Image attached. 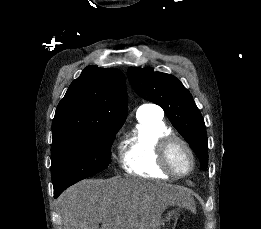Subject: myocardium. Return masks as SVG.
<instances>
[{
  "instance_id": "obj_1",
  "label": "myocardium",
  "mask_w": 261,
  "mask_h": 229,
  "mask_svg": "<svg viewBox=\"0 0 261 229\" xmlns=\"http://www.w3.org/2000/svg\"><path fill=\"white\" fill-rule=\"evenodd\" d=\"M181 145L185 148L190 159L189 168L186 171H177L171 163V151L177 146ZM159 160L164 170L173 177L182 178L192 173L195 167V156L190 144L181 137L171 135L162 139L159 145Z\"/></svg>"
}]
</instances>
